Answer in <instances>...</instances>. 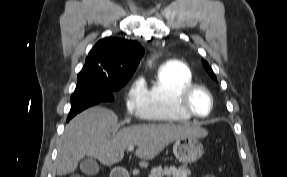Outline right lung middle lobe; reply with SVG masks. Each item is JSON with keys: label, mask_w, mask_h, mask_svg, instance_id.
<instances>
[{"label": "right lung middle lobe", "mask_w": 287, "mask_h": 177, "mask_svg": "<svg viewBox=\"0 0 287 177\" xmlns=\"http://www.w3.org/2000/svg\"><path fill=\"white\" fill-rule=\"evenodd\" d=\"M127 82L128 80H122L111 85H104L92 74L81 71L77 77L76 89L71 95V103L84 100L113 101V92L121 89Z\"/></svg>", "instance_id": "obj_1"}]
</instances>
